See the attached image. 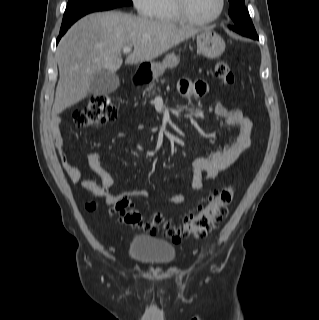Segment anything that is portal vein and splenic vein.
<instances>
[{"mask_svg": "<svg viewBox=\"0 0 319 320\" xmlns=\"http://www.w3.org/2000/svg\"><path fill=\"white\" fill-rule=\"evenodd\" d=\"M131 50H132V47H124V48H123V53H124V54H128V53L131 52Z\"/></svg>", "mask_w": 319, "mask_h": 320, "instance_id": "18ae733b", "label": "portal vein and splenic vein"}]
</instances>
